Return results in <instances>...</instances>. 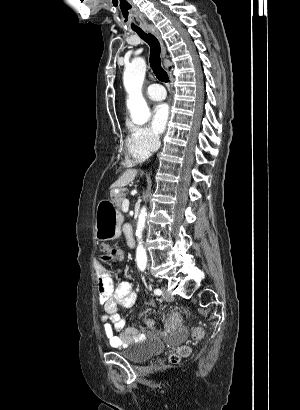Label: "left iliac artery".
<instances>
[{"mask_svg":"<svg viewBox=\"0 0 300 410\" xmlns=\"http://www.w3.org/2000/svg\"><path fill=\"white\" fill-rule=\"evenodd\" d=\"M154 293H155L156 295H161V294H162V290L159 289V288H157V289L154 290Z\"/></svg>","mask_w":300,"mask_h":410,"instance_id":"obj_1","label":"left iliac artery"}]
</instances>
